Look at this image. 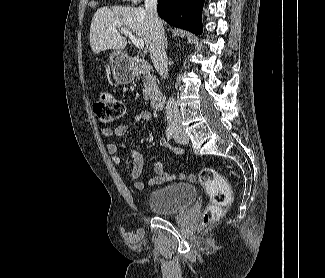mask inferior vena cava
Listing matches in <instances>:
<instances>
[{"mask_svg":"<svg viewBox=\"0 0 325 278\" xmlns=\"http://www.w3.org/2000/svg\"><path fill=\"white\" fill-rule=\"evenodd\" d=\"M145 10L150 25L149 52L154 67L164 79L168 78V58L165 52L164 28L157 14V0H145ZM167 121L173 124L181 123V115L174 97H170L166 104Z\"/></svg>","mask_w":325,"mask_h":278,"instance_id":"1","label":"inferior vena cava"}]
</instances>
